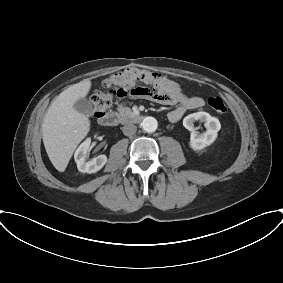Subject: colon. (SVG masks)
<instances>
[{
  "label": "colon",
  "mask_w": 283,
  "mask_h": 283,
  "mask_svg": "<svg viewBox=\"0 0 283 283\" xmlns=\"http://www.w3.org/2000/svg\"><path fill=\"white\" fill-rule=\"evenodd\" d=\"M172 90V82L165 75L137 67H128L106 79L101 89L92 95L91 104L94 115L99 117L108 111L114 97L124 98L132 95L165 101ZM207 103L216 113L227 112V106L220 97H210Z\"/></svg>",
  "instance_id": "1"
}]
</instances>
